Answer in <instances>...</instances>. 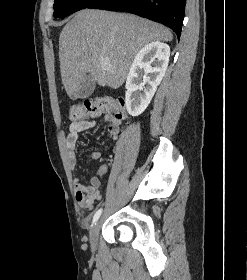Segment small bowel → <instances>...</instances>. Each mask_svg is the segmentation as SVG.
I'll list each match as a JSON object with an SVG mask.
<instances>
[{"mask_svg": "<svg viewBox=\"0 0 247 280\" xmlns=\"http://www.w3.org/2000/svg\"><path fill=\"white\" fill-rule=\"evenodd\" d=\"M105 121L107 122L108 135L112 140H117L120 132V124L122 119H118L112 115H105ZM96 126L94 120H82L74 121L69 126V132L66 137V148L68 152V158L72 169L78 166L77 146L79 133L92 129ZM101 158V153L98 151H92L88 155V159L91 161H97ZM108 170L107 165H101L97 170V175L93 176L89 180V185L84 186L75 179V197L78 204L82 208L91 209L95 203L101 198V179L106 175Z\"/></svg>", "mask_w": 247, "mask_h": 280, "instance_id": "small-bowel-1", "label": "small bowel"}]
</instances>
